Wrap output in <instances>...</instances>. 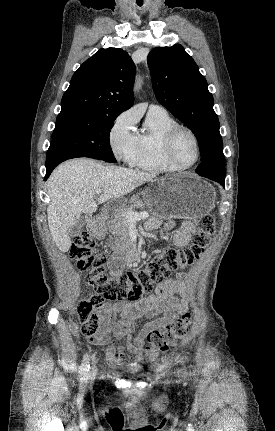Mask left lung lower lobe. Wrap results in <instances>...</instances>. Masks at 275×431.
<instances>
[{
	"mask_svg": "<svg viewBox=\"0 0 275 431\" xmlns=\"http://www.w3.org/2000/svg\"><path fill=\"white\" fill-rule=\"evenodd\" d=\"M203 177H206V178H209L211 180H214V181L220 183L222 186H224L225 175H220V174H204Z\"/></svg>",
	"mask_w": 275,
	"mask_h": 431,
	"instance_id": "1",
	"label": "left lung lower lobe"
}]
</instances>
